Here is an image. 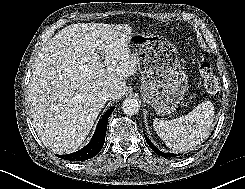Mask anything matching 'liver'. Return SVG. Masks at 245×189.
Wrapping results in <instances>:
<instances>
[{"mask_svg":"<svg viewBox=\"0 0 245 189\" xmlns=\"http://www.w3.org/2000/svg\"><path fill=\"white\" fill-rule=\"evenodd\" d=\"M132 34L128 24H71L40 50L28 99L35 130L55 153L82 144L106 103L105 90L114 91L110 100L125 94V79L137 70L128 48Z\"/></svg>","mask_w":245,"mask_h":189,"instance_id":"6515ba94","label":"liver"}]
</instances>
